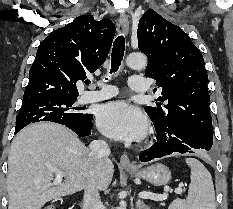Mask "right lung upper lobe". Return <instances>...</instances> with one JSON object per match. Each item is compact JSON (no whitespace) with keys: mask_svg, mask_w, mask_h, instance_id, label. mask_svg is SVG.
<instances>
[{"mask_svg":"<svg viewBox=\"0 0 233 209\" xmlns=\"http://www.w3.org/2000/svg\"><path fill=\"white\" fill-rule=\"evenodd\" d=\"M116 27L107 18L81 15L53 31L39 45L29 71L23 103L48 98H77L76 82L106 60Z\"/></svg>","mask_w":233,"mask_h":209,"instance_id":"right-lung-upper-lobe-1","label":"right lung upper lobe"}]
</instances>
